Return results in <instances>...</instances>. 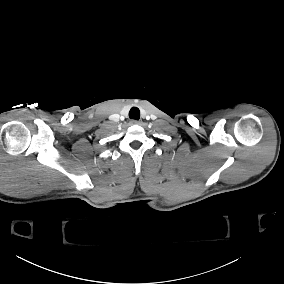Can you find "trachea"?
Segmentation results:
<instances>
[{
    "label": "trachea",
    "mask_w": 284,
    "mask_h": 284,
    "mask_svg": "<svg viewBox=\"0 0 284 284\" xmlns=\"http://www.w3.org/2000/svg\"><path fill=\"white\" fill-rule=\"evenodd\" d=\"M129 117H130V119L139 120V118H140L139 109L136 108V107L131 108L130 111H129Z\"/></svg>",
    "instance_id": "obj_1"
}]
</instances>
